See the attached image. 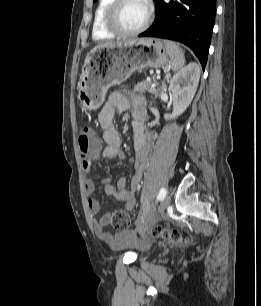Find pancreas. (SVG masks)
<instances>
[{"label":"pancreas","mask_w":261,"mask_h":306,"mask_svg":"<svg viewBox=\"0 0 261 306\" xmlns=\"http://www.w3.org/2000/svg\"><path fill=\"white\" fill-rule=\"evenodd\" d=\"M133 91L134 93L149 91L150 93L156 94V95L159 93L158 88L152 87L151 81H143V82L138 83L137 85L134 86Z\"/></svg>","instance_id":"pancreas-1"}]
</instances>
